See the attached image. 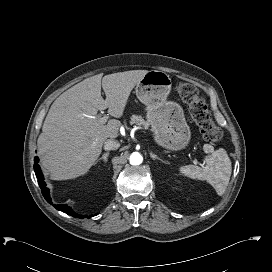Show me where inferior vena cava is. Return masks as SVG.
<instances>
[{
  "instance_id": "1",
  "label": "inferior vena cava",
  "mask_w": 272,
  "mask_h": 272,
  "mask_svg": "<svg viewBox=\"0 0 272 272\" xmlns=\"http://www.w3.org/2000/svg\"><path fill=\"white\" fill-rule=\"evenodd\" d=\"M120 147V143L117 140L108 139L104 143L105 150H116Z\"/></svg>"
}]
</instances>
